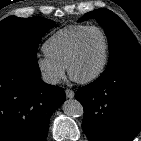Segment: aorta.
<instances>
[{
	"label": "aorta",
	"mask_w": 141,
	"mask_h": 141,
	"mask_svg": "<svg viewBox=\"0 0 141 141\" xmlns=\"http://www.w3.org/2000/svg\"><path fill=\"white\" fill-rule=\"evenodd\" d=\"M62 109L70 117H81L84 114L82 104L76 99L66 100L62 105Z\"/></svg>",
	"instance_id": "1"
}]
</instances>
